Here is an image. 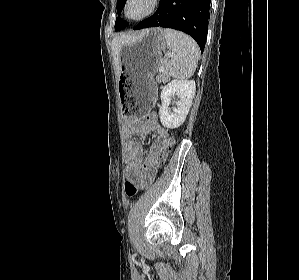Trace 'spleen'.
Wrapping results in <instances>:
<instances>
[{
	"label": "spleen",
	"mask_w": 299,
	"mask_h": 280,
	"mask_svg": "<svg viewBox=\"0 0 299 280\" xmlns=\"http://www.w3.org/2000/svg\"><path fill=\"white\" fill-rule=\"evenodd\" d=\"M163 33L172 51L171 60L166 64L169 76L179 80L190 78L200 58L197 43L190 36L173 29L166 28Z\"/></svg>",
	"instance_id": "spleen-1"
}]
</instances>
